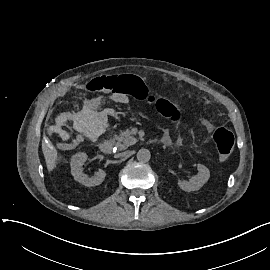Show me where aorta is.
Segmentation results:
<instances>
[{"label":"aorta","instance_id":"1","mask_svg":"<svg viewBox=\"0 0 270 270\" xmlns=\"http://www.w3.org/2000/svg\"><path fill=\"white\" fill-rule=\"evenodd\" d=\"M136 157H137V160L140 162H148L151 158V154H150V151L147 149H140L137 152Z\"/></svg>","mask_w":270,"mask_h":270}]
</instances>
